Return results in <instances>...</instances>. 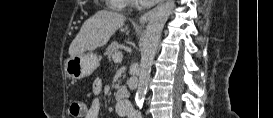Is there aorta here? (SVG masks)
I'll return each instance as SVG.
<instances>
[{"mask_svg": "<svg viewBox=\"0 0 273 118\" xmlns=\"http://www.w3.org/2000/svg\"><path fill=\"white\" fill-rule=\"evenodd\" d=\"M174 0H166L152 14L145 31L141 47L140 74L136 93V104L142 108L151 66L158 49L163 27L175 7Z\"/></svg>", "mask_w": 273, "mask_h": 118, "instance_id": "1", "label": "aorta"}]
</instances>
